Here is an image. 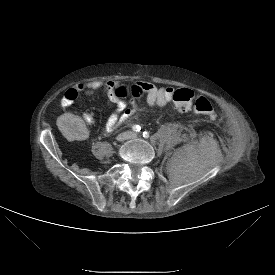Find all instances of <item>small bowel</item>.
Instances as JSON below:
<instances>
[{"label":"small bowel","instance_id":"obj_1","mask_svg":"<svg viewBox=\"0 0 275 275\" xmlns=\"http://www.w3.org/2000/svg\"><path fill=\"white\" fill-rule=\"evenodd\" d=\"M145 95V103L150 108H161L170 103L173 99L175 89L171 86H157L150 82H137ZM131 87L112 80H95L87 83H79L69 88L63 98L62 105L67 107L81 94H89L101 91L106 96L107 104L114 109L106 123V131L110 132L126 122L134 113V109L128 108L122 97L116 94L117 89ZM94 121V114L91 109L83 112L82 117L75 111L65 112L59 115L57 122L58 129L65 141L72 143L76 139H85L88 135L87 124Z\"/></svg>","mask_w":275,"mask_h":275}]
</instances>
